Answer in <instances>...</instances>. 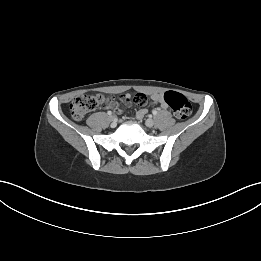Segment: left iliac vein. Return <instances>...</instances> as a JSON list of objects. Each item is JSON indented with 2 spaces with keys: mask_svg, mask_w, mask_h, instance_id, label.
<instances>
[{
  "mask_svg": "<svg viewBox=\"0 0 261 261\" xmlns=\"http://www.w3.org/2000/svg\"><path fill=\"white\" fill-rule=\"evenodd\" d=\"M154 124H155V122H154V120L153 119H151V118H149V119H147L146 121H145V125L147 126V127H153L154 126Z\"/></svg>",
  "mask_w": 261,
  "mask_h": 261,
  "instance_id": "left-iliac-vein-1",
  "label": "left iliac vein"
}]
</instances>
